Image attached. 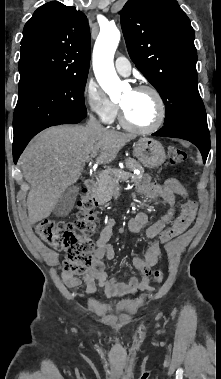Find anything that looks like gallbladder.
Instances as JSON below:
<instances>
[{"label": "gallbladder", "mask_w": 221, "mask_h": 379, "mask_svg": "<svg viewBox=\"0 0 221 379\" xmlns=\"http://www.w3.org/2000/svg\"><path fill=\"white\" fill-rule=\"evenodd\" d=\"M78 188L74 185L69 186L59 197L55 208L53 210L54 215L57 217H63L68 215L74 207Z\"/></svg>", "instance_id": "gallbladder-1"}]
</instances>
